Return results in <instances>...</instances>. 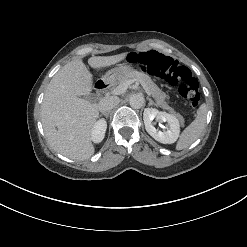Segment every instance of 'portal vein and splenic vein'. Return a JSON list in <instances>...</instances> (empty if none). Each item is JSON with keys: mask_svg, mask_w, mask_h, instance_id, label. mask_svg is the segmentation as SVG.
I'll use <instances>...</instances> for the list:
<instances>
[{"mask_svg": "<svg viewBox=\"0 0 247 247\" xmlns=\"http://www.w3.org/2000/svg\"><path fill=\"white\" fill-rule=\"evenodd\" d=\"M132 83H134V80H128L125 83H123L122 85H119L118 87H116L112 91V93L114 95H120V94L124 93ZM142 87L144 88V90L146 91V93L148 95H150V92H149L148 88L144 84H142Z\"/></svg>", "mask_w": 247, "mask_h": 247, "instance_id": "1", "label": "portal vein and splenic vein"}]
</instances>
